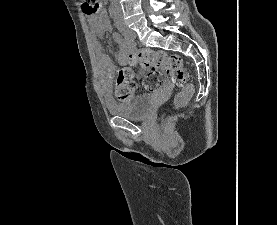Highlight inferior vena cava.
<instances>
[{"label": "inferior vena cava", "instance_id": "602c4592", "mask_svg": "<svg viewBox=\"0 0 277 225\" xmlns=\"http://www.w3.org/2000/svg\"><path fill=\"white\" fill-rule=\"evenodd\" d=\"M115 3H117V0H114ZM119 21L123 22V17L122 14H118V16L116 17V24L119 23Z\"/></svg>", "mask_w": 277, "mask_h": 225}]
</instances>
